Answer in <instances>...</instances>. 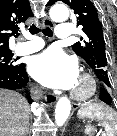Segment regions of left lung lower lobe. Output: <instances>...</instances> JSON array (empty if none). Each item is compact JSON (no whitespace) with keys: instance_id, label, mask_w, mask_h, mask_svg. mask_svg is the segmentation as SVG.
Returning <instances> with one entry per match:
<instances>
[{"instance_id":"1","label":"left lung lower lobe","mask_w":117,"mask_h":136,"mask_svg":"<svg viewBox=\"0 0 117 136\" xmlns=\"http://www.w3.org/2000/svg\"><path fill=\"white\" fill-rule=\"evenodd\" d=\"M100 100L110 104L112 102L111 96L109 94V91L107 88L102 87L100 90V96H99Z\"/></svg>"}]
</instances>
